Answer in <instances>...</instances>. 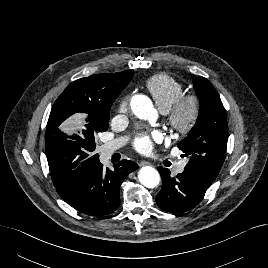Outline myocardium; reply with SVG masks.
Segmentation results:
<instances>
[{
  "label": "myocardium",
  "instance_id": "myocardium-1",
  "mask_svg": "<svg viewBox=\"0 0 268 268\" xmlns=\"http://www.w3.org/2000/svg\"><path fill=\"white\" fill-rule=\"evenodd\" d=\"M200 113V98L196 94H186L177 99L167 111L166 116L173 130L187 134L197 123Z\"/></svg>",
  "mask_w": 268,
  "mask_h": 268
}]
</instances>
